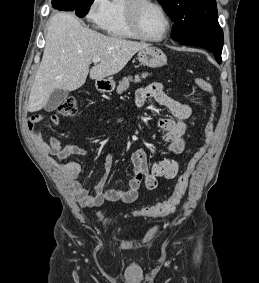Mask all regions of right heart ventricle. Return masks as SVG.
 <instances>
[{
    "instance_id": "e07e8e85",
    "label": "right heart ventricle",
    "mask_w": 259,
    "mask_h": 283,
    "mask_svg": "<svg viewBox=\"0 0 259 283\" xmlns=\"http://www.w3.org/2000/svg\"><path fill=\"white\" fill-rule=\"evenodd\" d=\"M127 0H111L102 24L105 33L116 38H137L132 32L126 13Z\"/></svg>"
}]
</instances>
